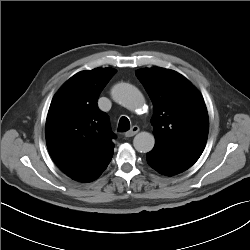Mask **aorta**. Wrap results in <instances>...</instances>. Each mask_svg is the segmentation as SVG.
<instances>
[{"label":"aorta","instance_id":"1","mask_svg":"<svg viewBox=\"0 0 250 250\" xmlns=\"http://www.w3.org/2000/svg\"><path fill=\"white\" fill-rule=\"evenodd\" d=\"M112 98L130 110H136L144 104L141 92L129 83H118L112 88ZM155 144V138L151 133L140 132L133 140L134 148L140 153L151 151Z\"/></svg>","mask_w":250,"mask_h":250}]
</instances>
